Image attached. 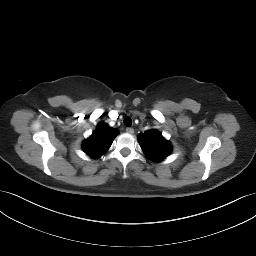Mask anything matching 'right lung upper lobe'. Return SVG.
I'll return each mask as SVG.
<instances>
[{
  "label": "right lung upper lobe",
  "mask_w": 256,
  "mask_h": 256,
  "mask_svg": "<svg viewBox=\"0 0 256 256\" xmlns=\"http://www.w3.org/2000/svg\"><path fill=\"white\" fill-rule=\"evenodd\" d=\"M117 134L116 129L100 122L93 134L83 142L82 148L89 156L98 158L109 149Z\"/></svg>",
  "instance_id": "cb5924a9"
}]
</instances>
